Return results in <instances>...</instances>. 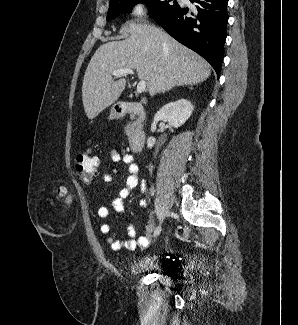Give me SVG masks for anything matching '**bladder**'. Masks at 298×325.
Listing matches in <instances>:
<instances>
[{
  "label": "bladder",
  "instance_id": "1",
  "mask_svg": "<svg viewBox=\"0 0 298 325\" xmlns=\"http://www.w3.org/2000/svg\"><path fill=\"white\" fill-rule=\"evenodd\" d=\"M157 261L154 257L143 258L128 267V273L132 276H137L145 273L156 271Z\"/></svg>",
  "mask_w": 298,
  "mask_h": 325
}]
</instances>
